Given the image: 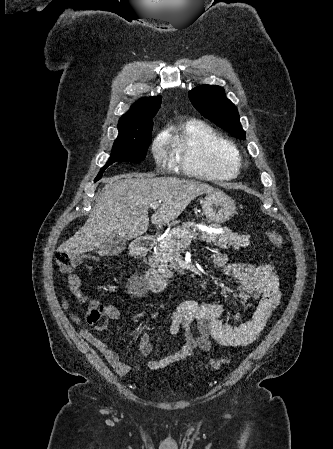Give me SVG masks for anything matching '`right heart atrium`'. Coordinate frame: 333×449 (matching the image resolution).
I'll use <instances>...</instances> for the list:
<instances>
[{"instance_id":"right-heart-atrium-1","label":"right heart atrium","mask_w":333,"mask_h":449,"mask_svg":"<svg viewBox=\"0 0 333 449\" xmlns=\"http://www.w3.org/2000/svg\"><path fill=\"white\" fill-rule=\"evenodd\" d=\"M152 153L157 162H162L165 158L164 141L163 139H157L152 146Z\"/></svg>"}]
</instances>
